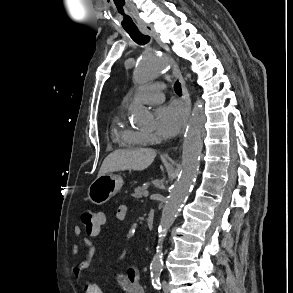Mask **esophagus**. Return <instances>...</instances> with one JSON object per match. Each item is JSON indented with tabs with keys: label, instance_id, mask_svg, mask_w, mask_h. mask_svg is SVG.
I'll return each instance as SVG.
<instances>
[{
	"label": "esophagus",
	"instance_id": "obj_1",
	"mask_svg": "<svg viewBox=\"0 0 293 293\" xmlns=\"http://www.w3.org/2000/svg\"><path fill=\"white\" fill-rule=\"evenodd\" d=\"M140 30H141L142 33L152 36L163 49H165L166 51H169V48H168L167 44H165L164 42L161 41L160 35L155 30L153 25L144 24V25H142L140 27ZM172 70H173V74L176 76V78L181 83L182 94H183V99H184L185 104H186L187 119H188V117L190 116V113H191V100H190L189 92L187 90L185 80H184V78H183V76H182V74L180 72V69H179L178 65L174 64L173 67H172Z\"/></svg>",
	"mask_w": 293,
	"mask_h": 293
}]
</instances>
